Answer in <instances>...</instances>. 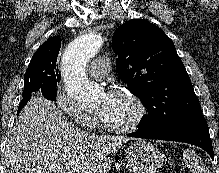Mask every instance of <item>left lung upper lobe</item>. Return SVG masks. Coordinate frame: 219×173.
<instances>
[{
    "label": "left lung upper lobe",
    "mask_w": 219,
    "mask_h": 173,
    "mask_svg": "<svg viewBox=\"0 0 219 173\" xmlns=\"http://www.w3.org/2000/svg\"><path fill=\"white\" fill-rule=\"evenodd\" d=\"M112 48L118 55L120 79L148 110L138 130L157 132L202 115L174 43L159 27L145 20H130L114 32Z\"/></svg>",
    "instance_id": "5c2ea615"
}]
</instances>
